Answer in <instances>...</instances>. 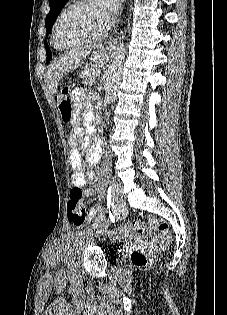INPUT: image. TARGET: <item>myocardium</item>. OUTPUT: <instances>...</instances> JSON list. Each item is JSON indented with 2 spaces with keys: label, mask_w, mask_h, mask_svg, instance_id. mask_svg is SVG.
Instances as JSON below:
<instances>
[{
  "label": "myocardium",
  "mask_w": 227,
  "mask_h": 315,
  "mask_svg": "<svg viewBox=\"0 0 227 315\" xmlns=\"http://www.w3.org/2000/svg\"><path fill=\"white\" fill-rule=\"evenodd\" d=\"M92 0H75L73 3H71L69 6H67L62 12L61 14L58 16L54 27H53V31H52V43L53 46L61 51H67V50H71V49H75L78 47H81L87 43L93 42V41H97L99 40L104 33L107 31L109 25H106L100 32H98L97 34H95L94 36L86 39L85 41L78 43V44H74V45H70V46H60L57 42V32H58V27L59 24L61 23L62 19L66 16V14H68L72 9H74L77 6H80L82 4L91 2Z\"/></svg>",
  "instance_id": "1"
}]
</instances>
